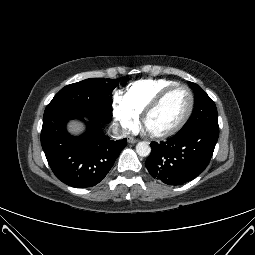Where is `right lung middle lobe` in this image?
<instances>
[{"instance_id": "right-lung-middle-lobe-1", "label": "right lung middle lobe", "mask_w": 255, "mask_h": 255, "mask_svg": "<svg viewBox=\"0 0 255 255\" xmlns=\"http://www.w3.org/2000/svg\"><path fill=\"white\" fill-rule=\"evenodd\" d=\"M117 85V81L104 78H90L67 85L54 96L45 113L76 110L108 123L112 119V91Z\"/></svg>"}]
</instances>
